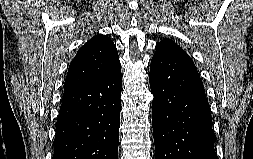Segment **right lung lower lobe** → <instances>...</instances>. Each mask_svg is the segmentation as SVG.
Masks as SVG:
<instances>
[{"label":"right lung lower lobe","mask_w":253,"mask_h":159,"mask_svg":"<svg viewBox=\"0 0 253 159\" xmlns=\"http://www.w3.org/2000/svg\"><path fill=\"white\" fill-rule=\"evenodd\" d=\"M121 66L65 93L53 159H118Z\"/></svg>","instance_id":"obj_1"}]
</instances>
